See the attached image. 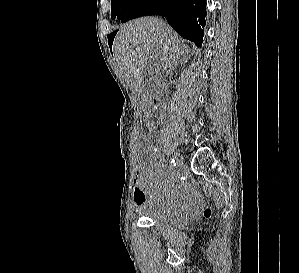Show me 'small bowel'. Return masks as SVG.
Listing matches in <instances>:
<instances>
[{"instance_id":"obj_1","label":"small bowel","mask_w":299,"mask_h":273,"mask_svg":"<svg viewBox=\"0 0 299 273\" xmlns=\"http://www.w3.org/2000/svg\"><path fill=\"white\" fill-rule=\"evenodd\" d=\"M146 127L149 133L145 136L151 139L150 133L155 131L156 123L148 118ZM138 149L143 156L151 159L157 158L156 150L152 146L144 148L140 139ZM134 184L132 203L136 208L145 205L151 210L176 211L186 216L193 214L197 209L196 201L183 189L181 183L176 178L166 177L159 161L148 166L139 163Z\"/></svg>"}]
</instances>
